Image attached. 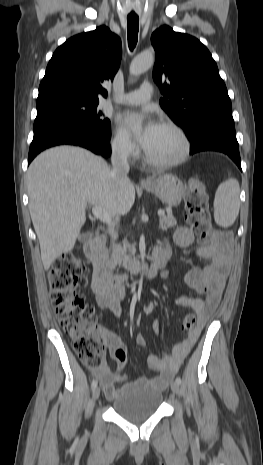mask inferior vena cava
Listing matches in <instances>:
<instances>
[{"label": "inferior vena cava", "instance_id": "602c4592", "mask_svg": "<svg viewBox=\"0 0 263 465\" xmlns=\"http://www.w3.org/2000/svg\"><path fill=\"white\" fill-rule=\"evenodd\" d=\"M128 152L125 145L117 146L112 151L111 163V177L117 183H127L129 181V164L127 162ZM116 222H119V216H116Z\"/></svg>", "mask_w": 263, "mask_h": 465}]
</instances>
